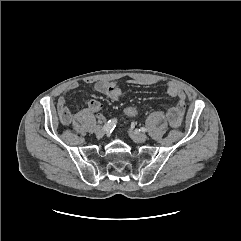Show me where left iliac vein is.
<instances>
[{
  "mask_svg": "<svg viewBox=\"0 0 241 241\" xmlns=\"http://www.w3.org/2000/svg\"><path fill=\"white\" fill-rule=\"evenodd\" d=\"M129 134H130V137L137 143H142L147 140V135L139 131H136V130L130 131Z\"/></svg>",
  "mask_w": 241,
  "mask_h": 241,
  "instance_id": "4c4485c4",
  "label": "left iliac vein"
}]
</instances>
